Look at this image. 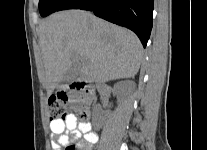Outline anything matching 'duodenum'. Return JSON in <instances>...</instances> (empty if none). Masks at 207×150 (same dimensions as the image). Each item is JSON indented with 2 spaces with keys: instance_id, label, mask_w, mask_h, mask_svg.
<instances>
[{
  "instance_id": "duodenum-1",
  "label": "duodenum",
  "mask_w": 207,
  "mask_h": 150,
  "mask_svg": "<svg viewBox=\"0 0 207 150\" xmlns=\"http://www.w3.org/2000/svg\"><path fill=\"white\" fill-rule=\"evenodd\" d=\"M71 90L74 91H82L86 98L91 99L94 95V88L90 85H87L81 81H73L70 83ZM84 116L86 117V113L83 111Z\"/></svg>"
}]
</instances>
